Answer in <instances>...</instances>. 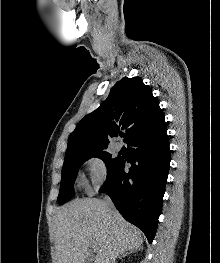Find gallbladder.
Listing matches in <instances>:
<instances>
[{"mask_svg":"<svg viewBox=\"0 0 220 263\" xmlns=\"http://www.w3.org/2000/svg\"><path fill=\"white\" fill-rule=\"evenodd\" d=\"M84 263H91V261L90 260H86Z\"/></svg>","mask_w":220,"mask_h":263,"instance_id":"gallbladder-1","label":"gallbladder"}]
</instances>
